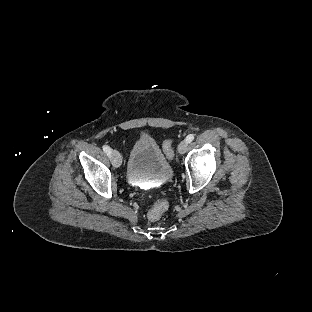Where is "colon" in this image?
<instances>
[{"label":"colon","mask_w":312,"mask_h":312,"mask_svg":"<svg viewBox=\"0 0 312 312\" xmlns=\"http://www.w3.org/2000/svg\"><path fill=\"white\" fill-rule=\"evenodd\" d=\"M164 149L166 154L171 158L173 153H172V148L169 140H166L164 142ZM165 210V206L160 205V204H155L149 211V215L151 217H158L160 216Z\"/></svg>","instance_id":"obj_1"}]
</instances>
